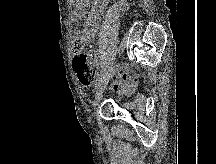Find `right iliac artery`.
<instances>
[{
	"instance_id": "right-iliac-artery-1",
	"label": "right iliac artery",
	"mask_w": 216,
	"mask_h": 164,
	"mask_svg": "<svg viewBox=\"0 0 216 164\" xmlns=\"http://www.w3.org/2000/svg\"><path fill=\"white\" fill-rule=\"evenodd\" d=\"M104 72L101 73V76H99V80L96 83L95 87H99V84L101 81H104V77L106 76V72L108 71L106 68L103 70Z\"/></svg>"
}]
</instances>
